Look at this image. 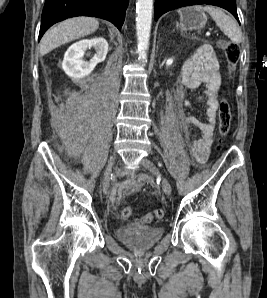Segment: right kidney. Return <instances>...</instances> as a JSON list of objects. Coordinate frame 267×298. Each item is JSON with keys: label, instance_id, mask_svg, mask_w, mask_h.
Listing matches in <instances>:
<instances>
[{"label": "right kidney", "instance_id": "1", "mask_svg": "<svg viewBox=\"0 0 267 298\" xmlns=\"http://www.w3.org/2000/svg\"><path fill=\"white\" fill-rule=\"evenodd\" d=\"M93 47L96 54L87 62L82 58L88 48ZM108 52V43L102 37L83 39L72 44L65 52L62 69L71 78H83L88 76L95 66L104 61Z\"/></svg>", "mask_w": 267, "mask_h": 298}]
</instances>
